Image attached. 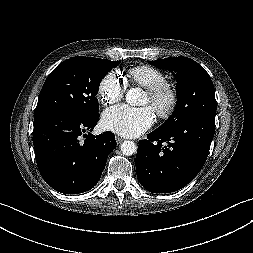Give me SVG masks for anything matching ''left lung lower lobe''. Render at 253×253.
Wrapping results in <instances>:
<instances>
[{
  "mask_svg": "<svg viewBox=\"0 0 253 253\" xmlns=\"http://www.w3.org/2000/svg\"><path fill=\"white\" fill-rule=\"evenodd\" d=\"M215 117L201 115L170 131L159 129L139 141L136 172L153 193L177 191L200 172L214 136Z\"/></svg>",
  "mask_w": 253,
  "mask_h": 253,
  "instance_id": "obj_1",
  "label": "left lung lower lobe"
}]
</instances>
